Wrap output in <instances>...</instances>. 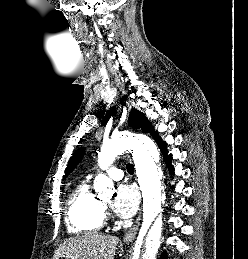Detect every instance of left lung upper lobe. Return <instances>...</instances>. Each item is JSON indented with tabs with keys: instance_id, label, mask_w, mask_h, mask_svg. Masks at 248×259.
Returning a JSON list of instances; mask_svg holds the SVG:
<instances>
[{
	"instance_id": "5c2ea615",
	"label": "left lung upper lobe",
	"mask_w": 248,
	"mask_h": 259,
	"mask_svg": "<svg viewBox=\"0 0 248 259\" xmlns=\"http://www.w3.org/2000/svg\"><path fill=\"white\" fill-rule=\"evenodd\" d=\"M128 124L132 128H135V129L142 128V130L144 132H151L152 135L156 138V140H160V139H158L156 132L153 131V127L149 123L146 116L143 113H141L140 111H137L135 109L131 110ZM161 143H163V142H160L159 144H161ZM83 155H84V149L83 148L78 149L73 154V156H72V158H71V160H70V162L67 166L66 175H68L75 168V166L83 158Z\"/></svg>"
}]
</instances>
